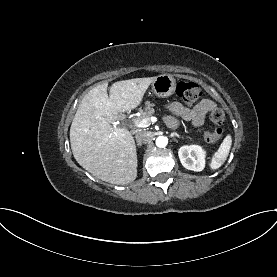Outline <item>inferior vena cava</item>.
<instances>
[{
  "label": "inferior vena cava",
  "instance_id": "602c4592",
  "mask_svg": "<svg viewBox=\"0 0 277 277\" xmlns=\"http://www.w3.org/2000/svg\"><path fill=\"white\" fill-rule=\"evenodd\" d=\"M136 141L141 144V143H147L150 141L151 139V134L149 132L146 131H139L136 135H135Z\"/></svg>",
  "mask_w": 277,
  "mask_h": 277
}]
</instances>
